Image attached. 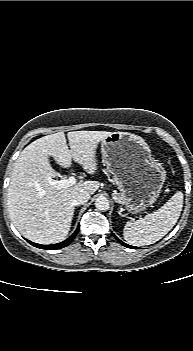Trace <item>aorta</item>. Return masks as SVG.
<instances>
[{"label": "aorta", "instance_id": "obj_1", "mask_svg": "<svg viewBox=\"0 0 193 351\" xmlns=\"http://www.w3.org/2000/svg\"><path fill=\"white\" fill-rule=\"evenodd\" d=\"M95 207L100 210V211H106L109 209V201L106 197L104 196H99L95 200Z\"/></svg>", "mask_w": 193, "mask_h": 351}]
</instances>
